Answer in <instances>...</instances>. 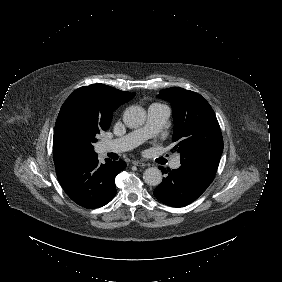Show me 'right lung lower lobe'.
Wrapping results in <instances>:
<instances>
[{"instance_id": "1", "label": "right lung lower lobe", "mask_w": 282, "mask_h": 282, "mask_svg": "<svg viewBox=\"0 0 282 282\" xmlns=\"http://www.w3.org/2000/svg\"><path fill=\"white\" fill-rule=\"evenodd\" d=\"M126 167L123 160L100 164L97 154L79 157L56 167L58 180L67 195L85 208H98L116 194L115 177Z\"/></svg>"}]
</instances>
